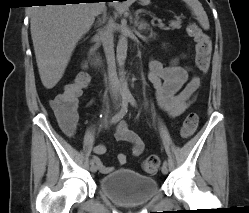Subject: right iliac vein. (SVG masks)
<instances>
[{
	"instance_id": "63e3f726",
	"label": "right iliac vein",
	"mask_w": 249,
	"mask_h": 213,
	"mask_svg": "<svg viewBox=\"0 0 249 213\" xmlns=\"http://www.w3.org/2000/svg\"><path fill=\"white\" fill-rule=\"evenodd\" d=\"M97 165H95V164H91V166H90V171L91 172H93V173H95L96 171H97Z\"/></svg>"
}]
</instances>
